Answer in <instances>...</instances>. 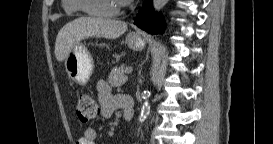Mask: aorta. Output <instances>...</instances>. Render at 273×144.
Instances as JSON below:
<instances>
[{"instance_id": "762f6f07", "label": "aorta", "mask_w": 273, "mask_h": 144, "mask_svg": "<svg viewBox=\"0 0 273 144\" xmlns=\"http://www.w3.org/2000/svg\"><path fill=\"white\" fill-rule=\"evenodd\" d=\"M167 2H168V0H153V7H154L155 11L162 10L164 8V6L167 4ZM149 97H150V92L144 91V93H143L144 102L142 104L141 112H140V116H139L140 123L144 122L150 113Z\"/></svg>"}]
</instances>
